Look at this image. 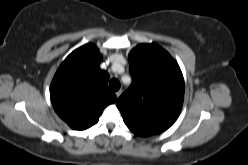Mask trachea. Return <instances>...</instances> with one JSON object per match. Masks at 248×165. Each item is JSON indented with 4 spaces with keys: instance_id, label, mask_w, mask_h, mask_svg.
Returning a JSON list of instances; mask_svg holds the SVG:
<instances>
[{
    "instance_id": "obj_1",
    "label": "trachea",
    "mask_w": 248,
    "mask_h": 165,
    "mask_svg": "<svg viewBox=\"0 0 248 165\" xmlns=\"http://www.w3.org/2000/svg\"><path fill=\"white\" fill-rule=\"evenodd\" d=\"M109 88L112 91H118L119 88H120V82L117 79L110 80V82H109Z\"/></svg>"
}]
</instances>
